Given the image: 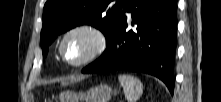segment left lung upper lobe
<instances>
[{
    "label": "left lung upper lobe",
    "mask_w": 221,
    "mask_h": 102,
    "mask_svg": "<svg viewBox=\"0 0 221 102\" xmlns=\"http://www.w3.org/2000/svg\"><path fill=\"white\" fill-rule=\"evenodd\" d=\"M47 0L43 10L40 42L43 56L57 34L81 24L100 29L107 42L112 38L121 19L126 0Z\"/></svg>",
    "instance_id": "left-lung-upper-lobe-1"
}]
</instances>
